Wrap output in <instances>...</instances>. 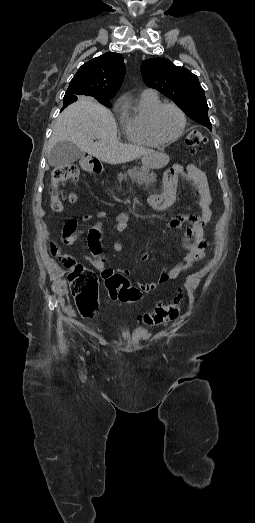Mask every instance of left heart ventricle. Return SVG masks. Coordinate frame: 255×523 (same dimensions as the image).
<instances>
[{"mask_svg": "<svg viewBox=\"0 0 255 523\" xmlns=\"http://www.w3.org/2000/svg\"><path fill=\"white\" fill-rule=\"evenodd\" d=\"M181 117L172 107H165L155 119V129L162 138L169 139L176 136L181 128Z\"/></svg>", "mask_w": 255, "mask_h": 523, "instance_id": "left-heart-ventricle-1", "label": "left heart ventricle"}]
</instances>
